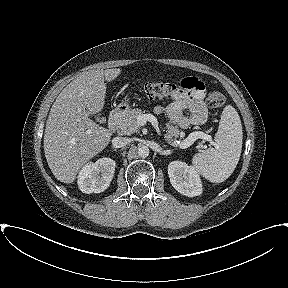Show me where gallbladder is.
I'll use <instances>...</instances> for the list:
<instances>
[{
    "instance_id": "obj_1",
    "label": "gallbladder",
    "mask_w": 288,
    "mask_h": 288,
    "mask_svg": "<svg viewBox=\"0 0 288 288\" xmlns=\"http://www.w3.org/2000/svg\"><path fill=\"white\" fill-rule=\"evenodd\" d=\"M95 120L97 121V122H100V123H103L104 122V118H102V117H100V116H95Z\"/></svg>"
}]
</instances>
